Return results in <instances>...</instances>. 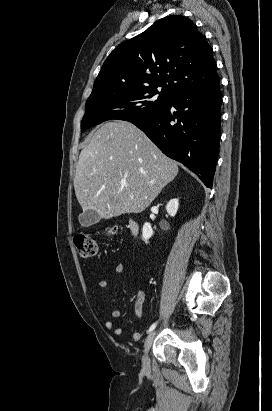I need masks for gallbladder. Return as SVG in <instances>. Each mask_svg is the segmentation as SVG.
Segmentation results:
<instances>
[{
  "label": "gallbladder",
  "mask_w": 272,
  "mask_h": 411,
  "mask_svg": "<svg viewBox=\"0 0 272 411\" xmlns=\"http://www.w3.org/2000/svg\"><path fill=\"white\" fill-rule=\"evenodd\" d=\"M100 221L98 213L94 210H87L79 216V222L83 227H89Z\"/></svg>",
  "instance_id": "bac80fb5"
}]
</instances>
